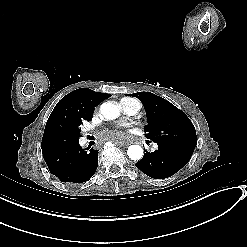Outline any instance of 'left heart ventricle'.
<instances>
[{"label":"left heart ventricle","mask_w":247,"mask_h":247,"mask_svg":"<svg viewBox=\"0 0 247 247\" xmlns=\"http://www.w3.org/2000/svg\"><path fill=\"white\" fill-rule=\"evenodd\" d=\"M117 125L129 135L131 150L137 152L139 150V140L136 136L135 123L128 115H125L117 122Z\"/></svg>","instance_id":"1"}]
</instances>
